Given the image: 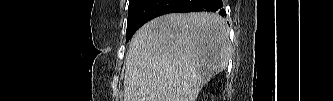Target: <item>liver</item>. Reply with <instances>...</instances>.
<instances>
[{"label":"liver","instance_id":"obj_1","mask_svg":"<svg viewBox=\"0 0 333 101\" xmlns=\"http://www.w3.org/2000/svg\"><path fill=\"white\" fill-rule=\"evenodd\" d=\"M229 28L218 14L172 13L143 25L126 54L124 101H196L230 58Z\"/></svg>","mask_w":333,"mask_h":101}]
</instances>
